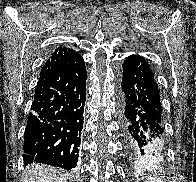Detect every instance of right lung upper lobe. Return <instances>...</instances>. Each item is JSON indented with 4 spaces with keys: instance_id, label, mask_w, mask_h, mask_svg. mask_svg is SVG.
<instances>
[{
    "instance_id": "cb5924a9",
    "label": "right lung upper lobe",
    "mask_w": 196,
    "mask_h": 182,
    "mask_svg": "<svg viewBox=\"0 0 196 182\" xmlns=\"http://www.w3.org/2000/svg\"><path fill=\"white\" fill-rule=\"evenodd\" d=\"M77 56H79V54L72 49L58 47L42 67L39 82L60 68L66 66L73 58Z\"/></svg>"
}]
</instances>
